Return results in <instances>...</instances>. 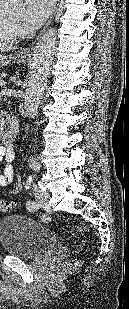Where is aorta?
<instances>
[{
	"mask_svg": "<svg viewBox=\"0 0 129 309\" xmlns=\"http://www.w3.org/2000/svg\"><path fill=\"white\" fill-rule=\"evenodd\" d=\"M20 9V0H8L6 11L16 13ZM57 30L48 29L38 41L34 50L30 75L24 97L23 114L30 119L37 114L43 98L50 66L54 57Z\"/></svg>",
	"mask_w": 129,
	"mask_h": 309,
	"instance_id": "obj_1",
	"label": "aorta"
}]
</instances>
